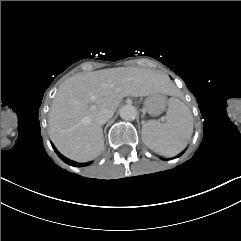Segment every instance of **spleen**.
<instances>
[{
  "mask_svg": "<svg viewBox=\"0 0 241 241\" xmlns=\"http://www.w3.org/2000/svg\"><path fill=\"white\" fill-rule=\"evenodd\" d=\"M166 119V123L150 120L142 125L144 144L160 155L179 153L193 132L191 111L177 98L169 99Z\"/></svg>",
  "mask_w": 241,
  "mask_h": 241,
  "instance_id": "obj_1",
  "label": "spleen"
}]
</instances>
